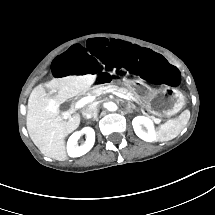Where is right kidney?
<instances>
[{"instance_id": "ca27d5eb", "label": "right kidney", "mask_w": 215, "mask_h": 215, "mask_svg": "<svg viewBox=\"0 0 215 215\" xmlns=\"http://www.w3.org/2000/svg\"><path fill=\"white\" fill-rule=\"evenodd\" d=\"M85 133L87 136L86 142L82 146L77 145V141L81 134ZM95 142V131L91 127H85L82 131L74 132L67 142V152L70 157H80L86 154L93 147Z\"/></svg>"}]
</instances>
